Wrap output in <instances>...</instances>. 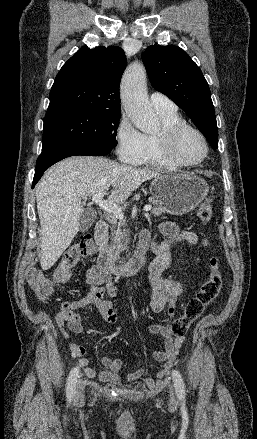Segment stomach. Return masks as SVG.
I'll list each match as a JSON object with an SVG mask.
<instances>
[{
  "mask_svg": "<svg viewBox=\"0 0 257 439\" xmlns=\"http://www.w3.org/2000/svg\"><path fill=\"white\" fill-rule=\"evenodd\" d=\"M150 192L173 215H184L194 210L207 196V182L193 174L161 175L156 177Z\"/></svg>",
  "mask_w": 257,
  "mask_h": 439,
  "instance_id": "0dacf381",
  "label": "stomach"
}]
</instances>
